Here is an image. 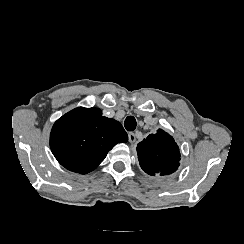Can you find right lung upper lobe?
<instances>
[{
  "label": "right lung upper lobe",
  "mask_w": 244,
  "mask_h": 244,
  "mask_svg": "<svg viewBox=\"0 0 244 244\" xmlns=\"http://www.w3.org/2000/svg\"><path fill=\"white\" fill-rule=\"evenodd\" d=\"M127 140L120 122L102 116L98 108L78 107L55 122L50 147L63 167L86 174L93 171L117 143Z\"/></svg>",
  "instance_id": "right-lung-upper-lobe-1"
}]
</instances>
